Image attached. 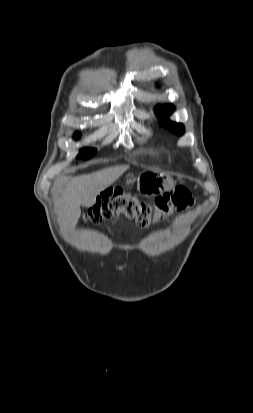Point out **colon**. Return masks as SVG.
Returning a JSON list of instances; mask_svg holds the SVG:
<instances>
[{
    "label": "colon",
    "instance_id": "colon-1",
    "mask_svg": "<svg viewBox=\"0 0 253 413\" xmlns=\"http://www.w3.org/2000/svg\"><path fill=\"white\" fill-rule=\"evenodd\" d=\"M192 203V196L184 187L158 196L153 204L125 194L122 190H112L97 199L95 205L88 210V218L96 222L123 214L146 227L168 217L174 211L187 209Z\"/></svg>",
    "mask_w": 253,
    "mask_h": 413
}]
</instances>
